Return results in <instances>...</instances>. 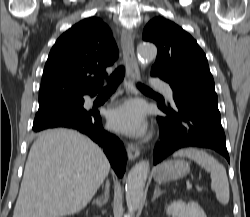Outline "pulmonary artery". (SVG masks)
Listing matches in <instances>:
<instances>
[{"instance_id": "1", "label": "pulmonary artery", "mask_w": 250, "mask_h": 217, "mask_svg": "<svg viewBox=\"0 0 250 217\" xmlns=\"http://www.w3.org/2000/svg\"><path fill=\"white\" fill-rule=\"evenodd\" d=\"M151 83L158 90L162 91L169 100H173V92L171 86L167 82L161 80H152Z\"/></svg>"}]
</instances>
